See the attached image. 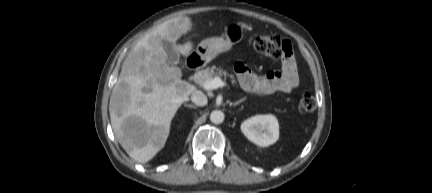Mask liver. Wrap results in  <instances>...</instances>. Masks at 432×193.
Masks as SVG:
<instances>
[{"mask_svg": "<svg viewBox=\"0 0 432 193\" xmlns=\"http://www.w3.org/2000/svg\"><path fill=\"white\" fill-rule=\"evenodd\" d=\"M189 17L179 16L158 25L132 49L123 63L109 102L111 125L123 149L139 163L150 161L165 145L171 121L195 91L181 80V70L167 65L162 40L188 56L192 43L176 41L192 28Z\"/></svg>", "mask_w": 432, "mask_h": 193, "instance_id": "liver-1", "label": "liver"}]
</instances>
